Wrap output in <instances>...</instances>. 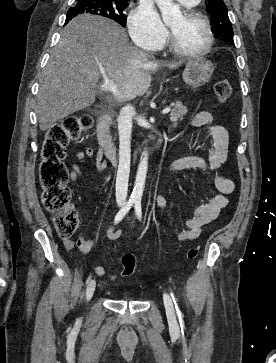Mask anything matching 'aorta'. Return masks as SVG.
Listing matches in <instances>:
<instances>
[{
  "instance_id": "1",
  "label": "aorta",
  "mask_w": 276,
  "mask_h": 363,
  "mask_svg": "<svg viewBox=\"0 0 276 363\" xmlns=\"http://www.w3.org/2000/svg\"><path fill=\"white\" fill-rule=\"evenodd\" d=\"M158 8L161 11L162 19L165 24H171L174 21L182 18V13L178 5L173 3L172 0H155ZM148 170V154L143 152L137 170L135 186L131 195L132 200H141L146 174Z\"/></svg>"
}]
</instances>
